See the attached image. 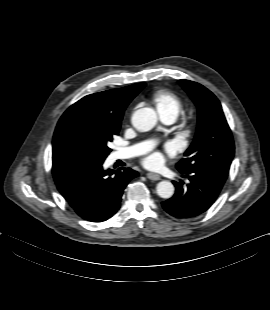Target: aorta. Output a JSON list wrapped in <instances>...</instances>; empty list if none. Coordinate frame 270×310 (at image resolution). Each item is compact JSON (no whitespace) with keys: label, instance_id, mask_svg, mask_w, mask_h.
I'll list each match as a JSON object with an SVG mask.
<instances>
[{"label":"aorta","instance_id":"obj_1","mask_svg":"<svg viewBox=\"0 0 270 310\" xmlns=\"http://www.w3.org/2000/svg\"><path fill=\"white\" fill-rule=\"evenodd\" d=\"M156 112L148 107L138 109L132 116V124L139 131H149L157 124ZM156 191L159 197L168 199L174 194V186L169 181H161L157 184Z\"/></svg>","mask_w":270,"mask_h":310}]
</instances>
